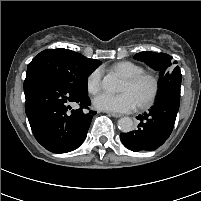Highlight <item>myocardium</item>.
<instances>
[{
	"mask_svg": "<svg viewBox=\"0 0 201 201\" xmlns=\"http://www.w3.org/2000/svg\"><path fill=\"white\" fill-rule=\"evenodd\" d=\"M125 80L130 85H136V84H138V83H140V82H142L144 80H147V81L150 82V84H151L150 93L145 99H143L142 101H140L138 103V106L140 108L149 107L155 102V100H156V98L158 96L159 87H160L159 79L155 74L143 71V72H141L139 74L126 77Z\"/></svg>",
	"mask_w": 201,
	"mask_h": 201,
	"instance_id": "obj_1",
	"label": "myocardium"
}]
</instances>
